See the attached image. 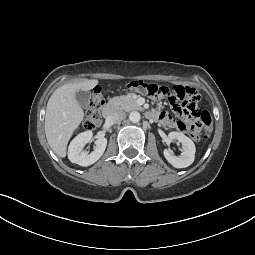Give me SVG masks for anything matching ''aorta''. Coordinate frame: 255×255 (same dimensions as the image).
Segmentation results:
<instances>
[{
    "instance_id": "obj_1",
    "label": "aorta",
    "mask_w": 255,
    "mask_h": 255,
    "mask_svg": "<svg viewBox=\"0 0 255 255\" xmlns=\"http://www.w3.org/2000/svg\"><path fill=\"white\" fill-rule=\"evenodd\" d=\"M140 113L137 112V111H133L129 114V120L132 122V123H138L140 121Z\"/></svg>"
}]
</instances>
